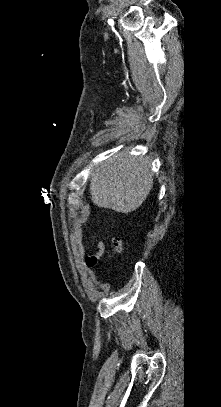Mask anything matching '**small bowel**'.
<instances>
[{"mask_svg":"<svg viewBox=\"0 0 221 407\" xmlns=\"http://www.w3.org/2000/svg\"><path fill=\"white\" fill-rule=\"evenodd\" d=\"M105 251V245L101 240L97 241L96 250L92 254H87L84 257V265L87 268L88 272H92V268L96 265L98 260L102 257ZM90 284V283H89Z\"/></svg>","mask_w":221,"mask_h":407,"instance_id":"obj_1","label":"small bowel"}]
</instances>
